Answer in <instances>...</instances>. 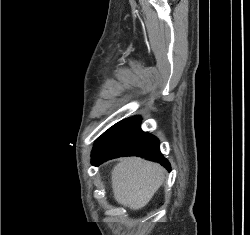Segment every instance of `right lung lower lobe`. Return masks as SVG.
Listing matches in <instances>:
<instances>
[{
	"label": "right lung lower lobe",
	"mask_w": 250,
	"mask_h": 235,
	"mask_svg": "<svg viewBox=\"0 0 250 235\" xmlns=\"http://www.w3.org/2000/svg\"><path fill=\"white\" fill-rule=\"evenodd\" d=\"M139 116L122 120L103 133L95 142L92 164L99 165L108 159L121 156H139L156 161L171 170L170 164L160 152L159 140L140 128Z\"/></svg>",
	"instance_id": "98d812e1"
}]
</instances>
